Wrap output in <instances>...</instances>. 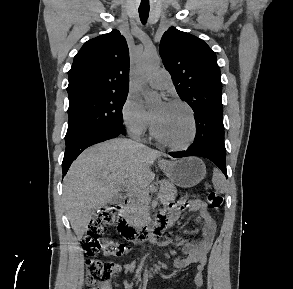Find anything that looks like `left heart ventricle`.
<instances>
[{
  "label": "left heart ventricle",
  "mask_w": 293,
  "mask_h": 289,
  "mask_svg": "<svg viewBox=\"0 0 293 289\" xmlns=\"http://www.w3.org/2000/svg\"><path fill=\"white\" fill-rule=\"evenodd\" d=\"M159 136L171 143H184L191 133V120L188 111L181 105L168 104L158 107L153 114Z\"/></svg>",
  "instance_id": "1"
}]
</instances>
